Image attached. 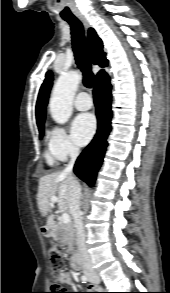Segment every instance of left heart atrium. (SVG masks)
Here are the masks:
<instances>
[{
  "label": "left heart atrium",
  "instance_id": "39dd6f15",
  "mask_svg": "<svg viewBox=\"0 0 170 293\" xmlns=\"http://www.w3.org/2000/svg\"><path fill=\"white\" fill-rule=\"evenodd\" d=\"M96 131L95 117L90 113L77 115L71 125V134L76 144H87Z\"/></svg>",
  "mask_w": 170,
  "mask_h": 293
}]
</instances>
